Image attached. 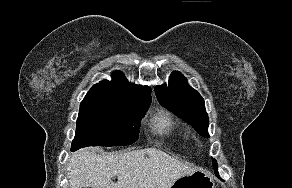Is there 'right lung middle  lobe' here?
Listing matches in <instances>:
<instances>
[{
  "label": "right lung middle lobe",
  "mask_w": 292,
  "mask_h": 188,
  "mask_svg": "<svg viewBox=\"0 0 292 188\" xmlns=\"http://www.w3.org/2000/svg\"><path fill=\"white\" fill-rule=\"evenodd\" d=\"M150 101L91 88L80 104L72 150L85 146H124L138 139L140 120Z\"/></svg>",
  "instance_id": "right-lung-middle-lobe-1"
}]
</instances>
